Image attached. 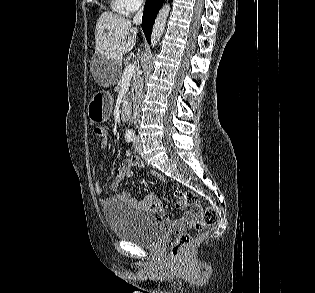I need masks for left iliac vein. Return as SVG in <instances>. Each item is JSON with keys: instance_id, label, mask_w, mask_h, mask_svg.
Returning a JSON list of instances; mask_svg holds the SVG:
<instances>
[{"instance_id": "4c4485c4", "label": "left iliac vein", "mask_w": 315, "mask_h": 293, "mask_svg": "<svg viewBox=\"0 0 315 293\" xmlns=\"http://www.w3.org/2000/svg\"><path fill=\"white\" fill-rule=\"evenodd\" d=\"M134 148L135 151L138 153L142 151V142L139 137H136V139L134 140Z\"/></svg>"}]
</instances>
